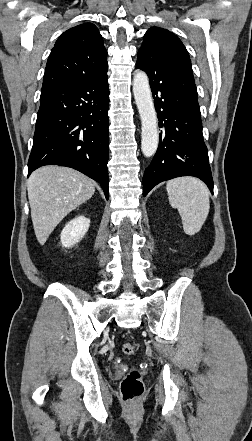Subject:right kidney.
Returning a JSON list of instances; mask_svg holds the SVG:
<instances>
[{
  "label": "right kidney",
  "instance_id": "ca27d5eb",
  "mask_svg": "<svg viewBox=\"0 0 252 441\" xmlns=\"http://www.w3.org/2000/svg\"><path fill=\"white\" fill-rule=\"evenodd\" d=\"M89 226L90 219L83 215L77 216L70 220L60 234L62 246L70 248L80 242L87 233Z\"/></svg>",
  "mask_w": 252,
  "mask_h": 441
}]
</instances>
